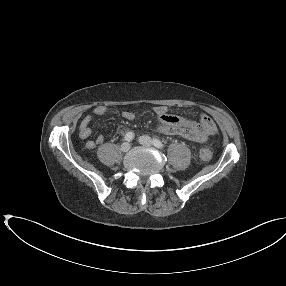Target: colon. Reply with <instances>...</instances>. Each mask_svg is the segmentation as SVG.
<instances>
[{"instance_id":"colon-1","label":"colon","mask_w":286,"mask_h":286,"mask_svg":"<svg viewBox=\"0 0 286 286\" xmlns=\"http://www.w3.org/2000/svg\"><path fill=\"white\" fill-rule=\"evenodd\" d=\"M212 157V152L208 148H202L200 150V158L204 161L210 160Z\"/></svg>"}]
</instances>
